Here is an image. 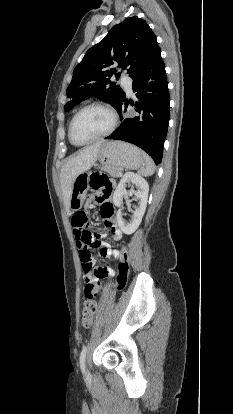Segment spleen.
<instances>
[{"label": "spleen", "mask_w": 233, "mask_h": 414, "mask_svg": "<svg viewBox=\"0 0 233 414\" xmlns=\"http://www.w3.org/2000/svg\"><path fill=\"white\" fill-rule=\"evenodd\" d=\"M144 163L140 168L139 173L143 176H151L155 172V164L151 157L143 152Z\"/></svg>", "instance_id": "obj_1"}]
</instances>
